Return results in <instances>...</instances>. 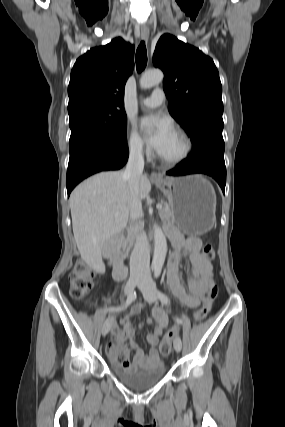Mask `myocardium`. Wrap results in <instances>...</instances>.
Instances as JSON below:
<instances>
[{
    "label": "myocardium",
    "instance_id": "myocardium-1",
    "mask_svg": "<svg viewBox=\"0 0 285 427\" xmlns=\"http://www.w3.org/2000/svg\"><path fill=\"white\" fill-rule=\"evenodd\" d=\"M177 135L180 136V138L183 140L184 143V149L183 152L175 158H164L160 156L158 153L156 154V158L158 161L166 166H176L184 162L191 154L193 149V143L189 135L181 128H175L173 130Z\"/></svg>",
    "mask_w": 285,
    "mask_h": 427
}]
</instances>
